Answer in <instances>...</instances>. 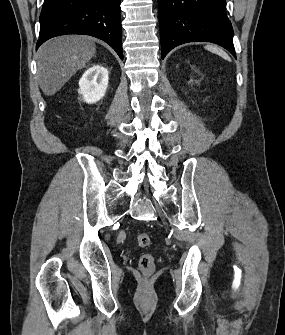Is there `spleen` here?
Instances as JSON below:
<instances>
[{
    "label": "spleen",
    "mask_w": 285,
    "mask_h": 335,
    "mask_svg": "<svg viewBox=\"0 0 285 335\" xmlns=\"http://www.w3.org/2000/svg\"><path fill=\"white\" fill-rule=\"evenodd\" d=\"M205 50H209V52H212V54H217V56H221V58H224V60H228V62H231L228 54H226V52H223L221 48H216V46H205Z\"/></svg>",
    "instance_id": "3e777b00"
}]
</instances>
